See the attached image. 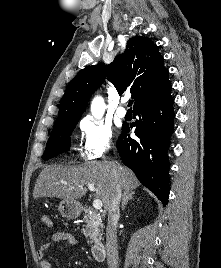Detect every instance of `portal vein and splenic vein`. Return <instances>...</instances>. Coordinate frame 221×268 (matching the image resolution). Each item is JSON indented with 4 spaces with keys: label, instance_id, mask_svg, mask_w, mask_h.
<instances>
[{
    "label": "portal vein and splenic vein",
    "instance_id": "portal-vein-and-splenic-vein-1",
    "mask_svg": "<svg viewBox=\"0 0 221 268\" xmlns=\"http://www.w3.org/2000/svg\"><path fill=\"white\" fill-rule=\"evenodd\" d=\"M86 186L88 187V189L90 191H95V186L93 184H86ZM93 207L97 210L102 208V201L100 199H95L93 201Z\"/></svg>",
    "mask_w": 221,
    "mask_h": 268
}]
</instances>
